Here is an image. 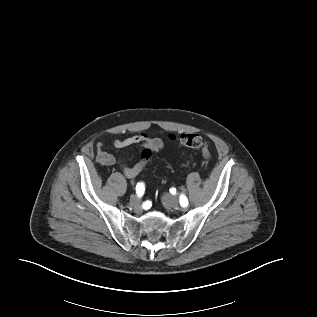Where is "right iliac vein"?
I'll return each instance as SVG.
<instances>
[{"mask_svg":"<svg viewBox=\"0 0 317 317\" xmlns=\"http://www.w3.org/2000/svg\"><path fill=\"white\" fill-rule=\"evenodd\" d=\"M130 201L132 204H138V203H140V197L136 194L131 195Z\"/></svg>","mask_w":317,"mask_h":317,"instance_id":"1","label":"right iliac vein"}]
</instances>
